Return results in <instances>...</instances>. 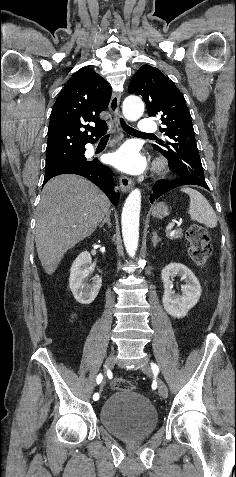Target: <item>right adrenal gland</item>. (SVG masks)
Wrapping results in <instances>:
<instances>
[{
	"label": "right adrenal gland",
	"instance_id": "right-adrenal-gland-1",
	"mask_svg": "<svg viewBox=\"0 0 236 477\" xmlns=\"http://www.w3.org/2000/svg\"><path fill=\"white\" fill-rule=\"evenodd\" d=\"M105 224H107L109 227L112 226L111 222H110V212L105 216L104 220L102 221V223L99 225V228H102Z\"/></svg>",
	"mask_w": 236,
	"mask_h": 477
}]
</instances>
